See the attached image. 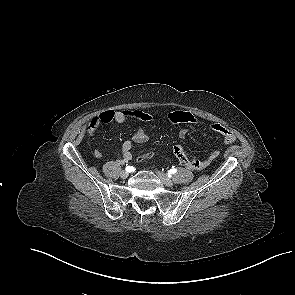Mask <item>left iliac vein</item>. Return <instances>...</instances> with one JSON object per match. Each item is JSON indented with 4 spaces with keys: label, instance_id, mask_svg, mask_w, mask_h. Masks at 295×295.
<instances>
[{
    "label": "left iliac vein",
    "instance_id": "1",
    "mask_svg": "<svg viewBox=\"0 0 295 295\" xmlns=\"http://www.w3.org/2000/svg\"><path fill=\"white\" fill-rule=\"evenodd\" d=\"M157 175L164 185L170 186V187L173 186L174 184L173 181L170 178H168L164 173L157 171Z\"/></svg>",
    "mask_w": 295,
    "mask_h": 295
}]
</instances>
